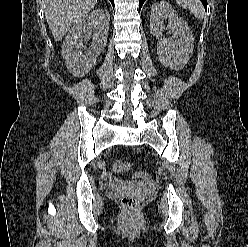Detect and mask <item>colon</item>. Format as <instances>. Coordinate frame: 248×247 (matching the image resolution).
<instances>
[{
  "mask_svg": "<svg viewBox=\"0 0 248 247\" xmlns=\"http://www.w3.org/2000/svg\"><path fill=\"white\" fill-rule=\"evenodd\" d=\"M131 167V164L128 161L124 160H115L111 163V170L115 173L124 172ZM137 177L147 178L149 175L146 172H137ZM122 206L129 211H132L137 208L138 200L134 196H125L121 201Z\"/></svg>",
  "mask_w": 248,
  "mask_h": 247,
  "instance_id": "colon-1",
  "label": "colon"
}]
</instances>
